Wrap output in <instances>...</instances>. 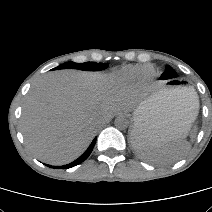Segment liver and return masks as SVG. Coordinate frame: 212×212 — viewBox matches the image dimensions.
Masks as SVG:
<instances>
[{
	"label": "liver",
	"mask_w": 212,
	"mask_h": 212,
	"mask_svg": "<svg viewBox=\"0 0 212 212\" xmlns=\"http://www.w3.org/2000/svg\"><path fill=\"white\" fill-rule=\"evenodd\" d=\"M170 100L172 124L186 134L192 119L179 103ZM134 106V91L106 75L55 71L38 79L28 92L21 130L27 148L37 159L63 165L85 151L100 123Z\"/></svg>",
	"instance_id": "obj_1"
}]
</instances>
